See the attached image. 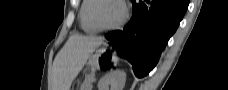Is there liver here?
Here are the masks:
<instances>
[{
  "label": "liver",
  "instance_id": "obj_1",
  "mask_svg": "<svg viewBox=\"0 0 228 90\" xmlns=\"http://www.w3.org/2000/svg\"><path fill=\"white\" fill-rule=\"evenodd\" d=\"M103 42V38L74 34L58 52L53 63V90H69L90 55Z\"/></svg>",
  "mask_w": 228,
  "mask_h": 90
}]
</instances>
